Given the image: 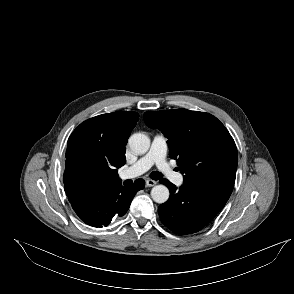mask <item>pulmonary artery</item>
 <instances>
[{
    "mask_svg": "<svg viewBox=\"0 0 294 294\" xmlns=\"http://www.w3.org/2000/svg\"><path fill=\"white\" fill-rule=\"evenodd\" d=\"M167 139L162 134L154 136L149 151L135 164L121 172L123 179L136 177L147 172L152 166H156L164 175L169 177L175 184L183 183V176L175 172L166 160Z\"/></svg>",
    "mask_w": 294,
    "mask_h": 294,
    "instance_id": "obj_1",
    "label": "pulmonary artery"
}]
</instances>
